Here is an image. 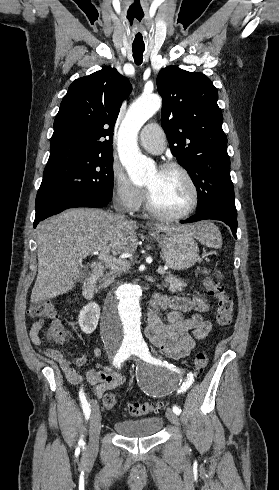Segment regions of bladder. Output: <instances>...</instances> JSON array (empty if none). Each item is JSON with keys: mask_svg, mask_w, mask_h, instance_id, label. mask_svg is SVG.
I'll use <instances>...</instances> for the list:
<instances>
[{"mask_svg": "<svg viewBox=\"0 0 279 490\" xmlns=\"http://www.w3.org/2000/svg\"><path fill=\"white\" fill-rule=\"evenodd\" d=\"M164 426V419L160 415H152L137 419H124L115 421L113 430L123 437H147L159 433Z\"/></svg>", "mask_w": 279, "mask_h": 490, "instance_id": "1", "label": "bladder"}]
</instances>
